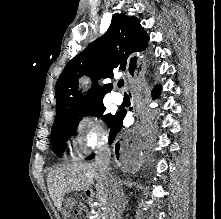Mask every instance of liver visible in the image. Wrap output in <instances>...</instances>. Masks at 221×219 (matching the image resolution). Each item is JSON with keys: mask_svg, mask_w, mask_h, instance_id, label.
Returning <instances> with one entry per match:
<instances>
[{"mask_svg": "<svg viewBox=\"0 0 221 219\" xmlns=\"http://www.w3.org/2000/svg\"><path fill=\"white\" fill-rule=\"evenodd\" d=\"M96 183V196L105 208L104 216L114 198V184L120 188L117 177H103L99 174L95 162H72L56 168L48 174L47 185L50 197L58 211L62 210V202L66 193L85 191ZM121 189V188H120Z\"/></svg>", "mask_w": 221, "mask_h": 219, "instance_id": "1", "label": "liver"}]
</instances>
